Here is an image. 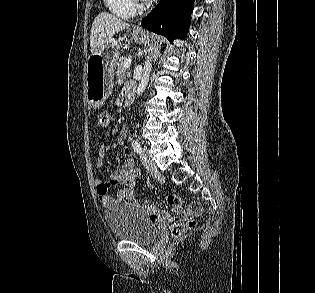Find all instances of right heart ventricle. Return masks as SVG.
<instances>
[{
  "mask_svg": "<svg viewBox=\"0 0 315 293\" xmlns=\"http://www.w3.org/2000/svg\"><path fill=\"white\" fill-rule=\"evenodd\" d=\"M103 3L107 10L117 18L129 19L135 14L129 0H103Z\"/></svg>",
  "mask_w": 315,
  "mask_h": 293,
  "instance_id": "e07e8e85",
  "label": "right heart ventricle"
}]
</instances>
